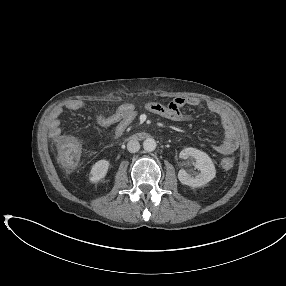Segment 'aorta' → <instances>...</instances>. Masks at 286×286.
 Returning <instances> with one entry per match:
<instances>
[{"mask_svg": "<svg viewBox=\"0 0 286 286\" xmlns=\"http://www.w3.org/2000/svg\"><path fill=\"white\" fill-rule=\"evenodd\" d=\"M156 141L153 138H147L143 142V148L147 152H152L156 149Z\"/></svg>", "mask_w": 286, "mask_h": 286, "instance_id": "1", "label": "aorta"}]
</instances>
